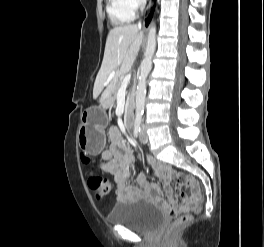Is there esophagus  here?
I'll use <instances>...</instances> for the list:
<instances>
[{"instance_id": "obj_1", "label": "esophagus", "mask_w": 264, "mask_h": 247, "mask_svg": "<svg viewBox=\"0 0 264 247\" xmlns=\"http://www.w3.org/2000/svg\"><path fill=\"white\" fill-rule=\"evenodd\" d=\"M154 2H155L154 0H152V1L150 2L149 7H148L149 9L154 5Z\"/></svg>"}]
</instances>
